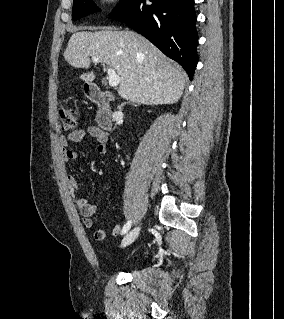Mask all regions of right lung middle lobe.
I'll use <instances>...</instances> for the list:
<instances>
[{"label": "right lung middle lobe", "mask_w": 284, "mask_h": 319, "mask_svg": "<svg viewBox=\"0 0 284 319\" xmlns=\"http://www.w3.org/2000/svg\"><path fill=\"white\" fill-rule=\"evenodd\" d=\"M131 0H121L117 7L129 3ZM100 11V9L93 3V0H73V20L80 19L90 13Z\"/></svg>", "instance_id": "1"}]
</instances>
